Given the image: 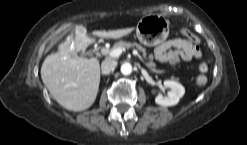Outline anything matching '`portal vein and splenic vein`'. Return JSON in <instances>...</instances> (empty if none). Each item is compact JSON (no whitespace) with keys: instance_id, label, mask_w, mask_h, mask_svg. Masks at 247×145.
<instances>
[{"instance_id":"18ae733b","label":"portal vein and splenic vein","mask_w":247,"mask_h":145,"mask_svg":"<svg viewBox=\"0 0 247 145\" xmlns=\"http://www.w3.org/2000/svg\"><path fill=\"white\" fill-rule=\"evenodd\" d=\"M123 51H124V49H122V48L113 49L112 51H110L109 56L113 57V58H118L122 54ZM133 54L135 56L139 55L137 50H133Z\"/></svg>"}]
</instances>
